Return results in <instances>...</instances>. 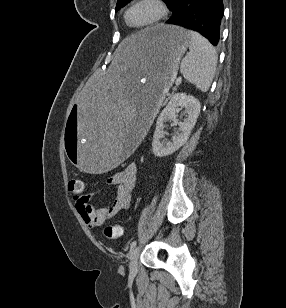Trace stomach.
Returning a JSON list of instances; mask_svg holds the SVG:
<instances>
[{
    "instance_id": "0dacf381",
    "label": "stomach",
    "mask_w": 286,
    "mask_h": 308,
    "mask_svg": "<svg viewBox=\"0 0 286 308\" xmlns=\"http://www.w3.org/2000/svg\"><path fill=\"white\" fill-rule=\"evenodd\" d=\"M137 34L122 40L111 69L74 100L63 149L76 173H109L135 153L190 46L187 31L175 25L159 24Z\"/></svg>"
}]
</instances>
